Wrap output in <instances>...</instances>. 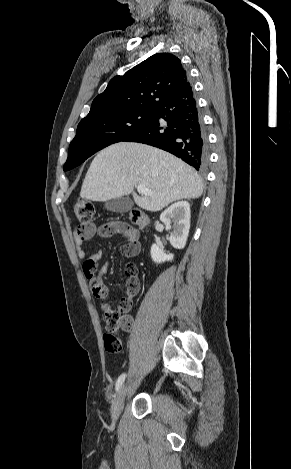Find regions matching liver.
I'll return each instance as SVG.
<instances>
[{"mask_svg": "<svg viewBox=\"0 0 291 469\" xmlns=\"http://www.w3.org/2000/svg\"><path fill=\"white\" fill-rule=\"evenodd\" d=\"M137 185H144L152 194L138 196L134 192ZM202 192V180L182 160L152 146L119 142L95 156L80 196L107 201L132 194L137 206L156 212L177 200L199 198Z\"/></svg>", "mask_w": 291, "mask_h": 469, "instance_id": "liver-1", "label": "liver"}]
</instances>
